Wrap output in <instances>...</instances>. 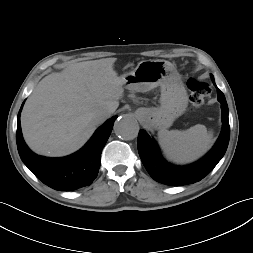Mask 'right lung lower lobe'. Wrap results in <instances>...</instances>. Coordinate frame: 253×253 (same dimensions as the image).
<instances>
[{"label":"right lung lower lobe","instance_id":"right-lung-lower-lobe-1","mask_svg":"<svg viewBox=\"0 0 253 253\" xmlns=\"http://www.w3.org/2000/svg\"><path fill=\"white\" fill-rule=\"evenodd\" d=\"M20 112L21 110L18 114L16 132L18 152L23 163L39 180L60 191L76 190L94 181L100 168L102 149L117 116H113L99 127L78 152L63 158H47L34 154L25 144L21 132Z\"/></svg>","mask_w":253,"mask_h":253}]
</instances>
